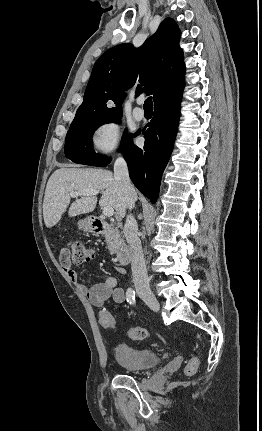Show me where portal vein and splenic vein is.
<instances>
[{
  "mask_svg": "<svg viewBox=\"0 0 262 431\" xmlns=\"http://www.w3.org/2000/svg\"><path fill=\"white\" fill-rule=\"evenodd\" d=\"M98 193H99V191H97V190H87V191H83V192H75V191H72V192L70 193V195H71V197H78V196H95V195H97ZM102 212H103V214H104L105 216H108V217H110V216H113V215H114V209H113L112 207H109V206L104 207V208H103V210H102Z\"/></svg>",
  "mask_w": 262,
  "mask_h": 431,
  "instance_id": "portal-vein-and-splenic-vein-1",
  "label": "portal vein and splenic vein"
}]
</instances>
